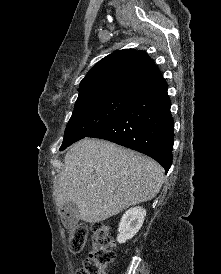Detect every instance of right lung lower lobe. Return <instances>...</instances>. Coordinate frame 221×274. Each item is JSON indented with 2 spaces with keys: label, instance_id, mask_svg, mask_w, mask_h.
<instances>
[{
  "label": "right lung lower lobe",
  "instance_id": "obj_1",
  "mask_svg": "<svg viewBox=\"0 0 221 274\" xmlns=\"http://www.w3.org/2000/svg\"><path fill=\"white\" fill-rule=\"evenodd\" d=\"M163 80L88 137L109 140L155 159L167 172L172 165L174 121Z\"/></svg>",
  "mask_w": 221,
  "mask_h": 274
}]
</instances>
